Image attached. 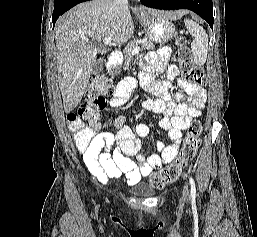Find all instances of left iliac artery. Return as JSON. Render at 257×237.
<instances>
[{"instance_id": "44dca946", "label": "left iliac artery", "mask_w": 257, "mask_h": 237, "mask_svg": "<svg viewBox=\"0 0 257 237\" xmlns=\"http://www.w3.org/2000/svg\"><path fill=\"white\" fill-rule=\"evenodd\" d=\"M190 181V190H191V195L195 196L196 195V188H195V183L192 177L189 178Z\"/></svg>"}]
</instances>
